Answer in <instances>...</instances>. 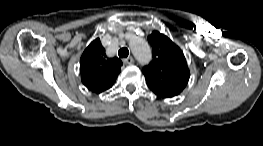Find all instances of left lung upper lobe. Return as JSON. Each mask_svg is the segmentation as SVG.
<instances>
[{"label": "left lung upper lobe", "instance_id": "5c2ea615", "mask_svg": "<svg viewBox=\"0 0 263 146\" xmlns=\"http://www.w3.org/2000/svg\"><path fill=\"white\" fill-rule=\"evenodd\" d=\"M148 41L153 51L152 61L143 68L148 87L163 98L177 96L190 77L182 50L158 31H153Z\"/></svg>", "mask_w": 263, "mask_h": 146}]
</instances>
